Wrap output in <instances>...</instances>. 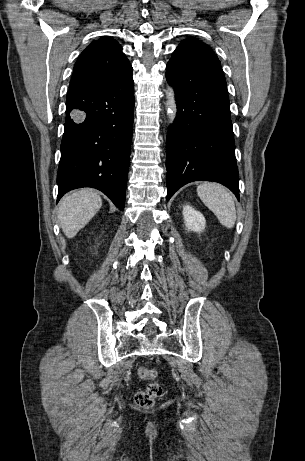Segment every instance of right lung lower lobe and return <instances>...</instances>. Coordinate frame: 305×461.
Instances as JSON below:
<instances>
[{
    "label": "right lung lower lobe",
    "mask_w": 305,
    "mask_h": 461,
    "mask_svg": "<svg viewBox=\"0 0 305 461\" xmlns=\"http://www.w3.org/2000/svg\"><path fill=\"white\" fill-rule=\"evenodd\" d=\"M133 108L132 73L67 93L57 202L70 190L92 187L124 209Z\"/></svg>",
    "instance_id": "98d812e1"
}]
</instances>
